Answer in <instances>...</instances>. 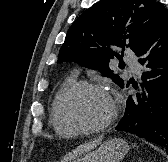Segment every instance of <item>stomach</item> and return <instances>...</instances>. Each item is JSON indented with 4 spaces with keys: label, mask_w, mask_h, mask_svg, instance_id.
I'll use <instances>...</instances> for the list:
<instances>
[{
    "label": "stomach",
    "mask_w": 168,
    "mask_h": 162,
    "mask_svg": "<svg viewBox=\"0 0 168 162\" xmlns=\"http://www.w3.org/2000/svg\"><path fill=\"white\" fill-rule=\"evenodd\" d=\"M128 149L129 146L125 140L112 138L105 141L95 151L75 157L69 162H119L127 154Z\"/></svg>",
    "instance_id": "1"
}]
</instances>
